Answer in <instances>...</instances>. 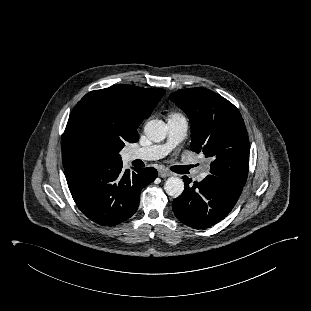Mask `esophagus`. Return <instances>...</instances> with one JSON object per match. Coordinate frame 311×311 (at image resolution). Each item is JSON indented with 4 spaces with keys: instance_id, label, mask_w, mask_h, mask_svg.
Instances as JSON below:
<instances>
[{
    "instance_id": "esophagus-1",
    "label": "esophagus",
    "mask_w": 311,
    "mask_h": 311,
    "mask_svg": "<svg viewBox=\"0 0 311 311\" xmlns=\"http://www.w3.org/2000/svg\"><path fill=\"white\" fill-rule=\"evenodd\" d=\"M172 174L170 172H168L167 170H160L159 171V176L162 178H166L171 176Z\"/></svg>"
}]
</instances>
